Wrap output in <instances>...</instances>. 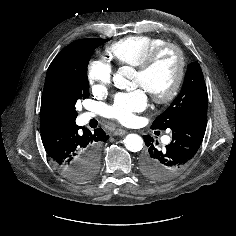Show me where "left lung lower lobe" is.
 I'll return each mask as SVG.
<instances>
[{
    "mask_svg": "<svg viewBox=\"0 0 236 236\" xmlns=\"http://www.w3.org/2000/svg\"><path fill=\"white\" fill-rule=\"evenodd\" d=\"M207 124V108H198L176 120L171 126L172 141L164 149L144 135L148 151L141 159V171L151 180L163 182L179 175L198 151Z\"/></svg>",
    "mask_w": 236,
    "mask_h": 236,
    "instance_id": "obj_1",
    "label": "left lung lower lobe"
}]
</instances>
